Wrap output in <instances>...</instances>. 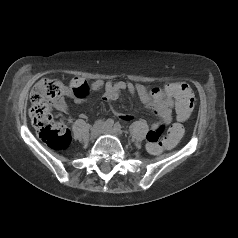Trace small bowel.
Here are the masks:
<instances>
[{"instance_id": "1", "label": "small bowel", "mask_w": 238, "mask_h": 238, "mask_svg": "<svg viewBox=\"0 0 238 238\" xmlns=\"http://www.w3.org/2000/svg\"><path fill=\"white\" fill-rule=\"evenodd\" d=\"M179 84L170 83L162 88L148 89L142 84H134L132 82L96 80L88 83L85 79L76 77L71 80L70 87L65 90L64 95L74 98L76 102H83L92 91L104 90V99L107 102H111L126 91L131 96L137 95L143 104L154 110L159 122L154 123L152 128H164L172 120V109L175 107L177 110L176 99L170 89ZM56 108L63 113H68L69 111L68 104L64 99L58 101ZM120 118L125 121L132 119L129 115H120Z\"/></svg>"}]
</instances>
